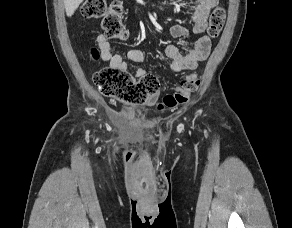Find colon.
<instances>
[{"label": "colon", "mask_w": 292, "mask_h": 228, "mask_svg": "<svg viewBox=\"0 0 292 228\" xmlns=\"http://www.w3.org/2000/svg\"><path fill=\"white\" fill-rule=\"evenodd\" d=\"M81 13L85 18H102L101 26L107 37L125 39L127 31L123 23V7L119 0L107 5L106 0H86ZM226 11L223 6L216 7L209 18L208 34L216 38L225 23ZM94 58L99 56L93 49ZM93 81L106 97L114 98L120 102L137 105L147 101L148 98L158 94L160 83L156 76L146 74L135 79L127 71L112 67H104L94 74ZM199 81L194 74H189L182 79L173 93L165 95L159 104L161 109H172L185 104L192 93L198 88Z\"/></svg>", "instance_id": "obj_1"}]
</instances>
